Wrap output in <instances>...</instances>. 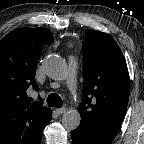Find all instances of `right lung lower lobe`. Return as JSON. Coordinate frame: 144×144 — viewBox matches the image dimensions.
Segmentation results:
<instances>
[{
  "mask_svg": "<svg viewBox=\"0 0 144 144\" xmlns=\"http://www.w3.org/2000/svg\"><path fill=\"white\" fill-rule=\"evenodd\" d=\"M35 144H41V136L38 138V140L35 142Z\"/></svg>",
  "mask_w": 144,
  "mask_h": 144,
  "instance_id": "1",
  "label": "right lung lower lobe"
}]
</instances>
